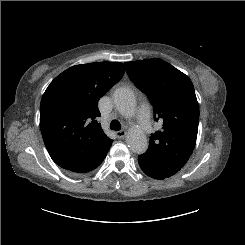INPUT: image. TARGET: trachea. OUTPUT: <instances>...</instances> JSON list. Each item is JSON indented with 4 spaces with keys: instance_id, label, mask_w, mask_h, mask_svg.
Wrapping results in <instances>:
<instances>
[{
    "instance_id": "3493384b",
    "label": "trachea",
    "mask_w": 245,
    "mask_h": 245,
    "mask_svg": "<svg viewBox=\"0 0 245 245\" xmlns=\"http://www.w3.org/2000/svg\"><path fill=\"white\" fill-rule=\"evenodd\" d=\"M110 128L115 131H119L121 129V124L117 120L111 121Z\"/></svg>"
}]
</instances>
